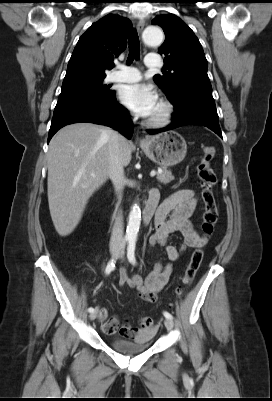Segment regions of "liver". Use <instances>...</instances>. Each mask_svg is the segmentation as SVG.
<instances>
[{"label":"liver","mask_w":272,"mask_h":401,"mask_svg":"<svg viewBox=\"0 0 272 401\" xmlns=\"http://www.w3.org/2000/svg\"><path fill=\"white\" fill-rule=\"evenodd\" d=\"M111 131L92 123H75L60 129L47 153L48 203L59 235L71 234L81 220L92 194L109 177ZM123 166L131 161V144L120 140Z\"/></svg>","instance_id":"6515ba94"}]
</instances>
